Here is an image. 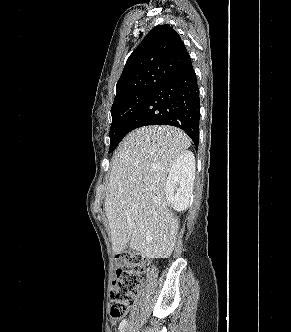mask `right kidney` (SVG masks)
<instances>
[{
  "instance_id": "1",
  "label": "right kidney",
  "mask_w": 291,
  "mask_h": 332,
  "mask_svg": "<svg viewBox=\"0 0 291 332\" xmlns=\"http://www.w3.org/2000/svg\"><path fill=\"white\" fill-rule=\"evenodd\" d=\"M195 178V157L192 152L181 154L169 171L166 200L177 211L185 210L190 202Z\"/></svg>"
}]
</instances>
